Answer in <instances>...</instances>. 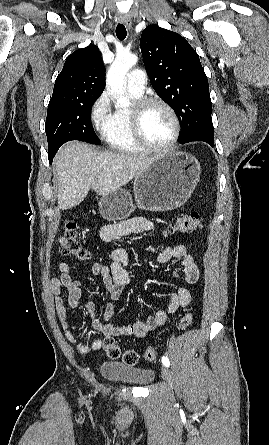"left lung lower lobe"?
I'll return each mask as SVG.
<instances>
[{
  "mask_svg": "<svg viewBox=\"0 0 269 445\" xmlns=\"http://www.w3.org/2000/svg\"><path fill=\"white\" fill-rule=\"evenodd\" d=\"M204 142L208 143L212 147L214 146V139L206 138L203 140Z\"/></svg>",
  "mask_w": 269,
  "mask_h": 445,
  "instance_id": "obj_1",
  "label": "left lung lower lobe"
}]
</instances>
